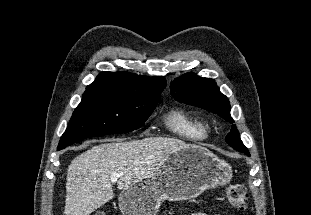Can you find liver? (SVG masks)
<instances>
[{
    "label": "liver",
    "mask_w": 311,
    "mask_h": 215,
    "mask_svg": "<svg viewBox=\"0 0 311 215\" xmlns=\"http://www.w3.org/2000/svg\"><path fill=\"white\" fill-rule=\"evenodd\" d=\"M182 140L149 137L113 141L92 147L68 167L65 215H90L114 197L112 175L119 173L117 188L124 190L152 174Z\"/></svg>",
    "instance_id": "obj_1"
}]
</instances>
